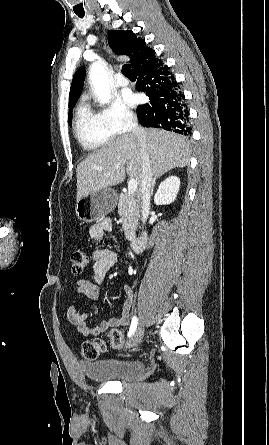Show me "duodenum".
<instances>
[{
    "label": "duodenum",
    "instance_id": "duodenum-1",
    "mask_svg": "<svg viewBox=\"0 0 269 445\" xmlns=\"http://www.w3.org/2000/svg\"><path fill=\"white\" fill-rule=\"evenodd\" d=\"M148 240V230H143L140 235L131 241V249L133 252H140L144 249Z\"/></svg>",
    "mask_w": 269,
    "mask_h": 445
}]
</instances>
